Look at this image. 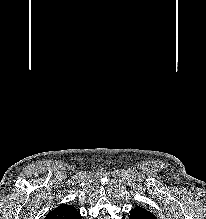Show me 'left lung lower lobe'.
Segmentation results:
<instances>
[{
  "instance_id": "obj_1",
  "label": "left lung lower lobe",
  "mask_w": 206,
  "mask_h": 219,
  "mask_svg": "<svg viewBox=\"0 0 206 219\" xmlns=\"http://www.w3.org/2000/svg\"><path fill=\"white\" fill-rule=\"evenodd\" d=\"M130 219H157L151 212L143 207H136L130 211Z\"/></svg>"
}]
</instances>
